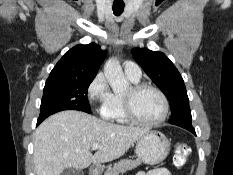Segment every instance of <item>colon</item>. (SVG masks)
<instances>
[{
  "instance_id": "1",
  "label": "colon",
  "mask_w": 233,
  "mask_h": 175,
  "mask_svg": "<svg viewBox=\"0 0 233 175\" xmlns=\"http://www.w3.org/2000/svg\"><path fill=\"white\" fill-rule=\"evenodd\" d=\"M191 152L190 146L185 142H178L174 146V165L177 167L183 166Z\"/></svg>"
}]
</instances>
